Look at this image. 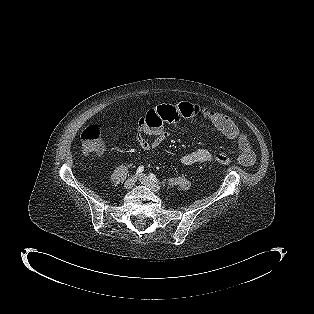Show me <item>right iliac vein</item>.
Listing matches in <instances>:
<instances>
[{
    "mask_svg": "<svg viewBox=\"0 0 314 314\" xmlns=\"http://www.w3.org/2000/svg\"><path fill=\"white\" fill-rule=\"evenodd\" d=\"M136 182V177L133 176V177H130L125 183H124V188L125 189H131L134 184Z\"/></svg>",
    "mask_w": 314,
    "mask_h": 314,
    "instance_id": "obj_1",
    "label": "right iliac vein"
}]
</instances>
